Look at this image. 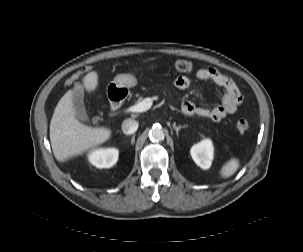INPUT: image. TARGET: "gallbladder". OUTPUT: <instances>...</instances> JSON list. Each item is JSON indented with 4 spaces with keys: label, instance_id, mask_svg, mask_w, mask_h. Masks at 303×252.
Instances as JSON below:
<instances>
[{
    "label": "gallbladder",
    "instance_id": "gallbladder-1",
    "mask_svg": "<svg viewBox=\"0 0 303 252\" xmlns=\"http://www.w3.org/2000/svg\"><path fill=\"white\" fill-rule=\"evenodd\" d=\"M73 103L76 111V118L81 122H89V117L86 113L82 97L80 95H74Z\"/></svg>",
    "mask_w": 303,
    "mask_h": 252
}]
</instances>
